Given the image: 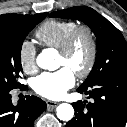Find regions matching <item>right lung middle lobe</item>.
<instances>
[{"mask_svg":"<svg viewBox=\"0 0 127 127\" xmlns=\"http://www.w3.org/2000/svg\"><path fill=\"white\" fill-rule=\"evenodd\" d=\"M48 13L33 15L15 22H0V92L21 88L18 79L23 73L21 47L27 34L41 22Z\"/></svg>","mask_w":127,"mask_h":127,"instance_id":"dd1d6c3e","label":"right lung middle lobe"}]
</instances>
